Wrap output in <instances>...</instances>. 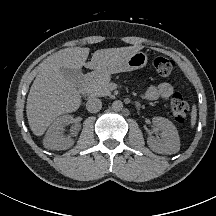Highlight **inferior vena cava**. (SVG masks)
<instances>
[{
	"label": "inferior vena cava",
	"mask_w": 216,
	"mask_h": 216,
	"mask_svg": "<svg viewBox=\"0 0 216 216\" xmlns=\"http://www.w3.org/2000/svg\"><path fill=\"white\" fill-rule=\"evenodd\" d=\"M86 108L90 113H96L102 108V102L98 98H91L87 101Z\"/></svg>",
	"instance_id": "inferior-vena-cava-1"
}]
</instances>
